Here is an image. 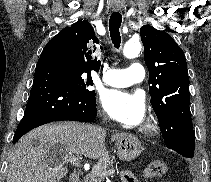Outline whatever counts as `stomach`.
Masks as SVG:
<instances>
[{
  "mask_svg": "<svg viewBox=\"0 0 211 182\" xmlns=\"http://www.w3.org/2000/svg\"><path fill=\"white\" fill-rule=\"evenodd\" d=\"M141 142L131 135H126L117 140V152L120 159L130 161L140 155Z\"/></svg>",
  "mask_w": 211,
  "mask_h": 182,
  "instance_id": "stomach-1",
  "label": "stomach"
}]
</instances>
